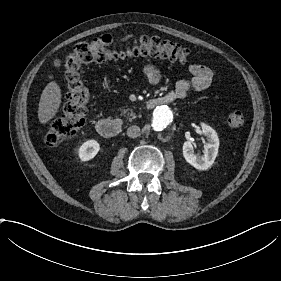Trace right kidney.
<instances>
[{
	"mask_svg": "<svg viewBox=\"0 0 281 281\" xmlns=\"http://www.w3.org/2000/svg\"><path fill=\"white\" fill-rule=\"evenodd\" d=\"M100 150V145L95 140L84 142L79 148V158L81 161H88L96 156Z\"/></svg>",
	"mask_w": 281,
	"mask_h": 281,
	"instance_id": "1",
	"label": "right kidney"
}]
</instances>
